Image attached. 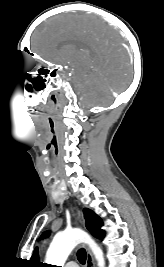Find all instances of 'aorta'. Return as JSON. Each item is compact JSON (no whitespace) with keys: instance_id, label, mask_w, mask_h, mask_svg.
Listing matches in <instances>:
<instances>
[{"instance_id":"obj_1","label":"aorta","mask_w":164,"mask_h":267,"mask_svg":"<svg viewBox=\"0 0 164 267\" xmlns=\"http://www.w3.org/2000/svg\"><path fill=\"white\" fill-rule=\"evenodd\" d=\"M82 242L88 244L91 248L98 267H105L101 248L88 234L78 229L68 230L54 237L46 253L47 264L63 266L71 251Z\"/></svg>"}]
</instances>
